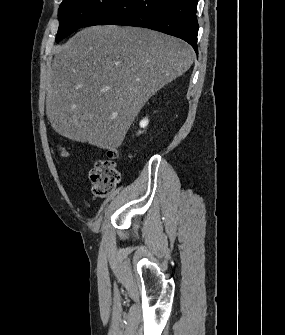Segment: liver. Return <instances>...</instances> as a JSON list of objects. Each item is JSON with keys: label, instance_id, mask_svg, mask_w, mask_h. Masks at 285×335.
<instances>
[{"label": "liver", "instance_id": "1", "mask_svg": "<svg viewBox=\"0 0 285 335\" xmlns=\"http://www.w3.org/2000/svg\"><path fill=\"white\" fill-rule=\"evenodd\" d=\"M53 52L46 86L53 130L103 150L121 146L144 104L194 58L179 38L119 26L84 28Z\"/></svg>", "mask_w": 285, "mask_h": 335}]
</instances>
